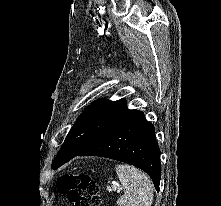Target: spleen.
<instances>
[{
    "instance_id": "spleen-1",
    "label": "spleen",
    "mask_w": 221,
    "mask_h": 206,
    "mask_svg": "<svg viewBox=\"0 0 221 206\" xmlns=\"http://www.w3.org/2000/svg\"><path fill=\"white\" fill-rule=\"evenodd\" d=\"M118 178L124 189L118 199V206H151L153 185L150 179L139 169L126 164L115 167Z\"/></svg>"
}]
</instances>
